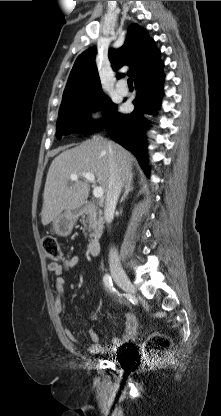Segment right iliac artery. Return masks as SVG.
Returning <instances> with one entry per match:
<instances>
[{
    "mask_svg": "<svg viewBox=\"0 0 221 416\" xmlns=\"http://www.w3.org/2000/svg\"><path fill=\"white\" fill-rule=\"evenodd\" d=\"M103 282L106 286V288L113 294L118 295V296H122V294H120L118 291H116V289L113 286V282L111 279V276L109 274H105L103 277Z\"/></svg>",
    "mask_w": 221,
    "mask_h": 416,
    "instance_id": "1",
    "label": "right iliac artery"
}]
</instances>
